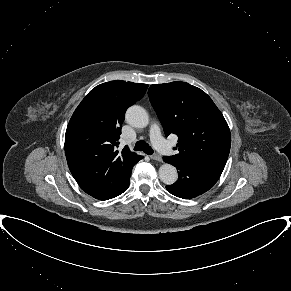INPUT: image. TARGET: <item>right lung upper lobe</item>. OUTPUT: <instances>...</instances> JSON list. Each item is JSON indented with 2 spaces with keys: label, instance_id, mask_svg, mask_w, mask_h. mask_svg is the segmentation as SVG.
I'll list each match as a JSON object with an SVG mask.
<instances>
[{
  "label": "right lung upper lobe",
  "instance_id": "cb5924a9",
  "mask_svg": "<svg viewBox=\"0 0 291 291\" xmlns=\"http://www.w3.org/2000/svg\"><path fill=\"white\" fill-rule=\"evenodd\" d=\"M147 84L110 81L93 88L73 113L65 134L69 169L79 186L99 200L116 196L142 156L118 139L127 108L140 100Z\"/></svg>",
  "mask_w": 291,
  "mask_h": 291
}]
</instances>
